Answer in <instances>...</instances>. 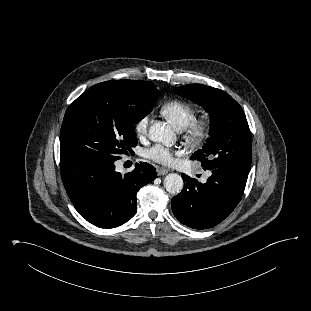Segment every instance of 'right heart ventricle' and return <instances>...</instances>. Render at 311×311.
Instances as JSON below:
<instances>
[{
	"label": "right heart ventricle",
	"mask_w": 311,
	"mask_h": 311,
	"mask_svg": "<svg viewBox=\"0 0 311 311\" xmlns=\"http://www.w3.org/2000/svg\"><path fill=\"white\" fill-rule=\"evenodd\" d=\"M164 118L177 130H183L194 118V107L181 100L165 102L160 109Z\"/></svg>",
	"instance_id": "right-heart-ventricle-1"
}]
</instances>
